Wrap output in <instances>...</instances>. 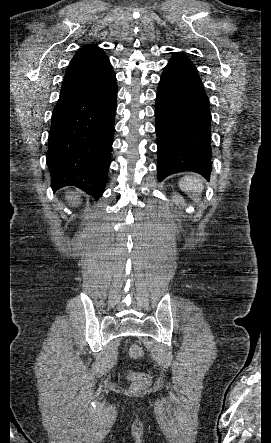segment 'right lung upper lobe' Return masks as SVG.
<instances>
[{
  "label": "right lung upper lobe",
  "instance_id": "obj_1",
  "mask_svg": "<svg viewBox=\"0 0 271 443\" xmlns=\"http://www.w3.org/2000/svg\"><path fill=\"white\" fill-rule=\"evenodd\" d=\"M115 78L105 52L95 45L80 48L72 58L61 91L91 87Z\"/></svg>",
  "mask_w": 271,
  "mask_h": 443
}]
</instances>
